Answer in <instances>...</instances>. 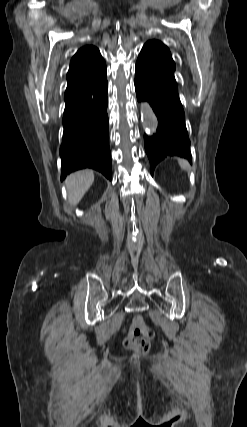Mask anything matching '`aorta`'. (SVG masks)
I'll return each instance as SVG.
<instances>
[{
  "instance_id": "obj_1",
  "label": "aorta",
  "mask_w": 247,
  "mask_h": 427,
  "mask_svg": "<svg viewBox=\"0 0 247 427\" xmlns=\"http://www.w3.org/2000/svg\"><path fill=\"white\" fill-rule=\"evenodd\" d=\"M142 126L148 134L156 132L158 122L152 107L148 103L140 105Z\"/></svg>"
}]
</instances>
